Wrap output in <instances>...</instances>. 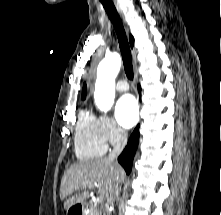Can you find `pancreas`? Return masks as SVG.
<instances>
[{"mask_svg": "<svg viewBox=\"0 0 221 215\" xmlns=\"http://www.w3.org/2000/svg\"><path fill=\"white\" fill-rule=\"evenodd\" d=\"M86 215H101V210L96 206L87 209Z\"/></svg>", "mask_w": 221, "mask_h": 215, "instance_id": "cf45deb5", "label": "pancreas"}]
</instances>
